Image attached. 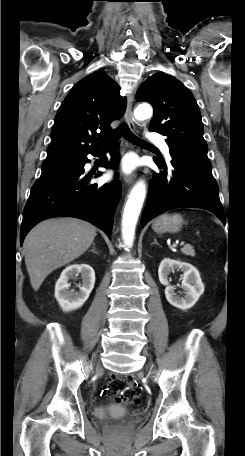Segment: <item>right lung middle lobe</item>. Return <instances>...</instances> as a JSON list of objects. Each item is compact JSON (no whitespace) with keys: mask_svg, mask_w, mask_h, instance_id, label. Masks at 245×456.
Returning <instances> with one entry per match:
<instances>
[{"mask_svg":"<svg viewBox=\"0 0 245 456\" xmlns=\"http://www.w3.org/2000/svg\"><path fill=\"white\" fill-rule=\"evenodd\" d=\"M71 165H72V163L64 165V166L56 167V168L42 169V174L55 172V171H58V170L67 169V168L71 167Z\"/></svg>","mask_w":245,"mask_h":456,"instance_id":"dd1d6c3e","label":"right lung middle lobe"}]
</instances>
